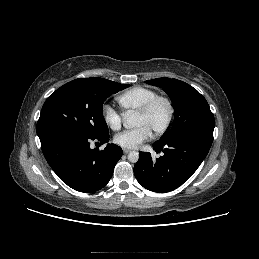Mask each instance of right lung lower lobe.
<instances>
[{
    "label": "right lung lower lobe",
    "mask_w": 259,
    "mask_h": 259,
    "mask_svg": "<svg viewBox=\"0 0 259 259\" xmlns=\"http://www.w3.org/2000/svg\"><path fill=\"white\" fill-rule=\"evenodd\" d=\"M109 134L97 137L61 130L40 137L43 154L58 177L79 192H95L111 179L114 167L122 156L121 147L107 144L104 150L91 149L92 140L101 144Z\"/></svg>",
    "instance_id": "right-lung-lower-lobe-1"
}]
</instances>
